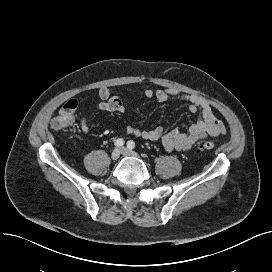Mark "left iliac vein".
Listing matches in <instances>:
<instances>
[{"mask_svg":"<svg viewBox=\"0 0 272 272\" xmlns=\"http://www.w3.org/2000/svg\"><path fill=\"white\" fill-rule=\"evenodd\" d=\"M121 153L125 156L138 157V155L135 152H133L125 147L121 148Z\"/></svg>","mask_w":272,"mask_h":272,"instance_id":"left-iliac-vein-1","label":"left iliac vein"}]
</instances>
